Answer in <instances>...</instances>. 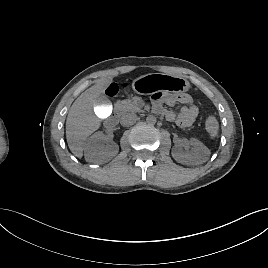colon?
Segmentation results:
<instances>
[{
  "instance_id": "1",
  "label": "colon",
  "mask_w": 268,
  "mask_h": 268,
  "mask_svg": "<svg viewBox=\"0 0 268 268\" xmlns=\"http://www.w3.org/2000/svg\"><path fill=\"white\" fill-rule=\"evenodd\" d=\"M107 92L110 96H114L118 92V86L116 84H111L108 87Z\"/></svg>"
}]
</instances>
